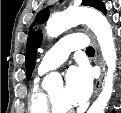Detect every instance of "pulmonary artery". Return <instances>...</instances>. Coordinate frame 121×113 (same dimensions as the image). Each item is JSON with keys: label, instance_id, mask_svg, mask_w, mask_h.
Masks as SVG:
<instances>
[{"label": "pulmonary artery", "instance_id": "pulmonary-artery-1", "mask_svg": "<svg viewBox=\"0 0 121 113\" xmlns=\"http://www.w3.org/2000/svg\"><path fill=\"white\" fill-rule=\"evenodd\" d=\"M86 42L85 36L80 33L65 36L43 56L38 72L45 74L58 68L67 60L72 51L85 49Z\"/></svg>", "mask_w": 121, "mask_h": 113}]
</instances>
